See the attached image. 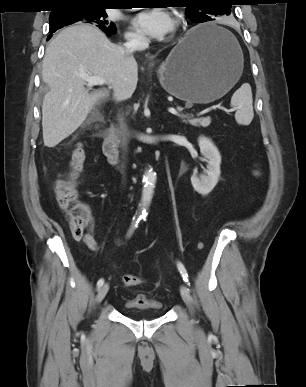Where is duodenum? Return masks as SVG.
Segmentation results:
<instances>
[{
  "label": "duodenum",
  "mask_w": 306,
  "mask_h": 387,
  "mask_svg": "<svg viewBox=\"0 0 306 387\" xmlns=\"http://www.w3.org/2000/svg\"><path fill=\"white\" fill-rule=\"evenodd\" d=\"M118 131L115 125H112L105 133L103 142V152L112 165L119 163L118 150Z\"/></svg>",
  "instance_id": "duodenum-1"
}]
</instances>
